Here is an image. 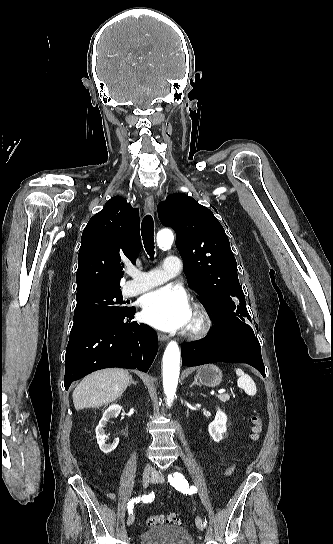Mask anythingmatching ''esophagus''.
Masks as SVG:
<instances>
[{"label":"esophagus","instance_id":"34e87169","mask_svg":"<svg viewBox=\"0 0 333 544\" xmlns=\"http://www.w3.org/2000/svg\"><path fill=\"white\" fill-rule=\"evenodd\" d=\"M145 208L150 214L154 213V208H155L154 198L150 194H148L145 198ZM157 336H158V339L162 342L168 340V336L163 333H157Z\"/></svg>","mask_w":333,"mask_h":544}]
</instances>
